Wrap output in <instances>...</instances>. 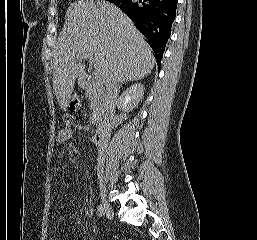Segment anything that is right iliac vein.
I'll return each mask as SVG.
<instances>
[{
    "instance_id": "1",
    "label": "right iliac vein",
    "mask_w": 257,
    "mask_h": 240,
    "mask_svg": "<svg viewBox=\"0 0 257 240\" xmlns=\"http://www.w3.org/2000/svg\"><path fill=\"white\" fill-rule=\"evenodd\" d=\"M101 206L103 208V212L104 214L108 217V218H113L114 216V211L112 206L108 203V201L106 200L105 197V193L104 190L101 189Z\"/></svg>"
}]
</instances>
